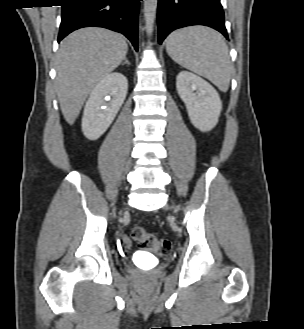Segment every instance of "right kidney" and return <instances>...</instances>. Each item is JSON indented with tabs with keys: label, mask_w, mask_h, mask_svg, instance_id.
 Returning a JSON list of instances; mask_svg holds the SVG:
<instances>
[{
	"label": "right kidney",
	"mask_w": 304,
	"mask_h": 329,
	"mask_svg": "<svg viewBox=\"0 0 304 329\" xmlns=\"http://www.w3.org/2000/svg\"><path fill=\"white\" fill-rule=\"evenodd\" d=\"M127 91L128 80L119 72L107 75L96 85L86 102L82 117V131L86 138L96 140L108 129L122 106Z\"/></svg>",
	"instance_id": "obj_1"
}]
</instances>
